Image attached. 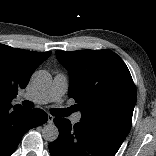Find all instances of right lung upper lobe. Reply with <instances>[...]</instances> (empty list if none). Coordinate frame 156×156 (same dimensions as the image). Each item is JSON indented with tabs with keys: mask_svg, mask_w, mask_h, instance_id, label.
<instances>
[{
	"mask_svg": "<svg viewBox=\"0 0 156 156\" xmlns=\"http://www.w3.org/2000/svg\"><path fill=\"white\" fill-rule=\"evenodd\" d=\"M51 52H35L0 44V108H11L20 88H25L35 69ZM16 107H22L16 105Z\"/></svg>",
	"mask_w": 156,
	"mask_h": 156,
	"instance_id": "obj_1",
	"label": "right lung upper lobe"
}]
</instances>
